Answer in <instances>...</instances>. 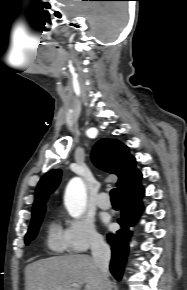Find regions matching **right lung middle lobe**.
<instances>
[{
    "instance_id": "dd1d6c3e",
    "label": "right lung middle lobe",
    "mask_w": 187,
    "mask_h": 290,
    "mask_svg": "<svg viewBox=\"0 0 187 290\" xmlns=\"http://www.w3.org/2000/svg\"><path fill=\"white\" fill-rule=\"evenodd\" d=\"M44 214L39 215L37 218L31 221V224L29 226V230L25 236V243L28 244L31 240H33L38 232L39 226L41 224V221L43 219Z\"/></svg>"
}]
</instances>
